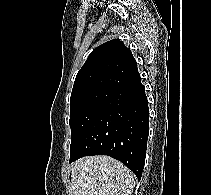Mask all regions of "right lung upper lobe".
Wrapping results in <instances>:
<instances>
[{"instance_id": "cb5924a9", "label": "right lung upper lobe", "mask_w": 211, "mask_h": 195, "mask_svg": "<svg viewBox=\"0 0 211 195\" xmlns=\"http://www.w3.org/2000/svg\"><path fill=\"white\" fill-rule=\"evenodd\" d=\"M139 79L137 63L130 49L114 39L91 52L76 76L71 96L94 89L114 91Z\"/></svg>"}]
</instances>
